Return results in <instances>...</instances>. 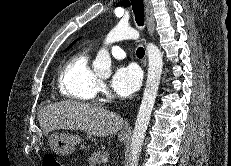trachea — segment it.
<instances>
[{"instance_id": "3493384b", "label": "trachea", "mask_w": 231, "mask_h": 166, "mask_svg": "<svg viewBox=\"0 0 231 166\" xmlns=\"http://www.w3.org/2000/svg\"><path fill=\"white\" fill-rule=\"evenodd\" d=\"M132 9L135 15V20L138 26L144 25V8L142 0H131ZM138 58H143L145 55V50L143 47H139L136 51Z\"/></svg>"}]
</instances>
